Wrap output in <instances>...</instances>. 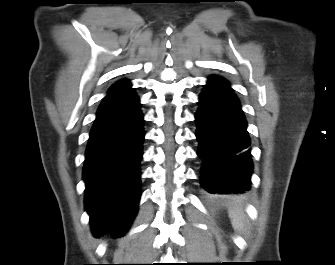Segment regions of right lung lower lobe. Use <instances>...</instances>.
I'll return each instance as SVG.
<instances>
[{
    "label": "right lung lower lobe",
    "mask_w": 335,
    "mask_h": 265,
    "mask_svg": "<svg viewBox=\"0 0 335 265\" xmlns=\"http://www.w3.org/2000/svg\"><path fill=\"white\" fill-rule=\"evenodd\" d=\"M143 115L133 89L100 104L85 153V209L93 234L124 235L140 199Z\"/></svg>",
    "instance_id": "obj_1"
}]
</instances>
